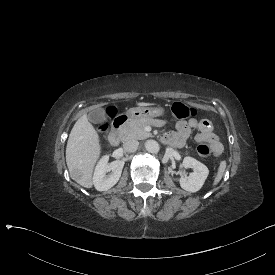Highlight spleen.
I'll use <instances>...</instances> for the list:
<instances>
[{
	"label": "spleen",
	"instance_id": "spleen-1",
	"mask_svg": "<svg viewBox=\"0 0 275 275\" xmlns=\"http://www.w3.org/2000/svg\"><path fill=\"white\" fill-rule=\"evenodd\" d=\"M225 169H226V161H221L220 166L218 168V173H217L214 183H213L214 185L219 183V181L221 180V178L224 174Z\"/></svg>",
	"mask_w": 275,
	"mask_h": 275
}]
</instances>
